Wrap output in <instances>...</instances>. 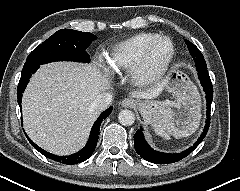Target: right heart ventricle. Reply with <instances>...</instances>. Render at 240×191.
I'll list each match as a JSON object with an SVG mask.
<instances>
[{"label": "right heart ventricle", "mask_w": 240, "mask_h": 191, "mask_svg": "<svg viewBox=\"0 0 240 191\" xmlns=\"http://www.w3.org/2000/svg\"><path fill=\"white\" fill-rule=\"evenodd\" d=\"M157 33H139L115 44L108 55V64L115 72L128 71L138 61Z\"/></svg>", "instance_id": "e07e8e85"}]
</instances>
